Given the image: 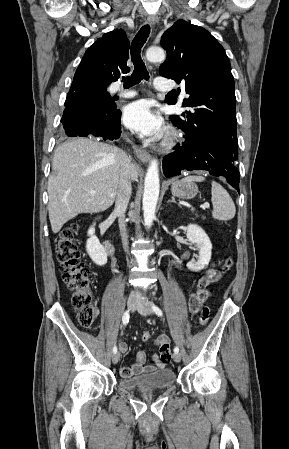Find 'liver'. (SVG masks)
<instances>
[{
	"mask_svg": "<svg viewBox=\"0 0 289 449\" xmlns=\"http://www.w3.org/2000/svg\"><path fill=\"white\" fill-rule=\"evenodd\" d=\"M127 158L118 147L92 139L78 138L56 148L48 179L53 233L78 214L102 212L112 206ZM131 171L132 179L137 180L136 165Z\"/></svg>",
	"mask_w": 289,
	"mask_h": 449,
	"instance_id": "liver-1",
	"label": "liver"
}]
</instances>
